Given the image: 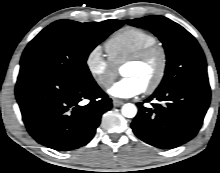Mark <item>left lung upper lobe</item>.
Returning <instances> with one entry per match:
<instances>
[{"instance_id":"left-lung-upper-lobe-1","label":"left lung upper lobe","mask_w":220,"mask_h":173,"mask_svg":"<svg viewBox=\"0 0 220 173\" xmlns=\"http://www.w3.org/2000/svg\"><path fill=\"white\" fill-rule=\"evenodd\" d=\"M126 23L150 30L163 43L167 65L157 91L184 83H209L203 51L196 39L182 26L158 15L126 20Z\"/></svg>"}]
</instances>
